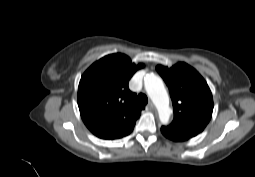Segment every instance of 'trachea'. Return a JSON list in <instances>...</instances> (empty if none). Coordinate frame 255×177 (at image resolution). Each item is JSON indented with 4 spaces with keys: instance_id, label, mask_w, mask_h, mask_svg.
Wrapping results in <instances>:
<instances>
[{
    "instance_id": "trachea-1",
    "label": "trachea",
    "mask_w": 255,
    "mask_h": 177,
    "mask_svg": "<svg viewBox=\"0 0 255 177\" xmlns=\"http://www.w3.org/2000/svg\"><path fill=\"white\" fill-rule=\"evenodd\" d=\"M137 102L140 105H146L148 103V98L145 94L140 93L137 97Z\"/></svg>"
}]
</instances>
